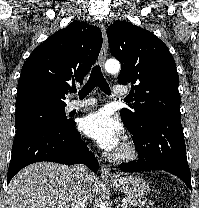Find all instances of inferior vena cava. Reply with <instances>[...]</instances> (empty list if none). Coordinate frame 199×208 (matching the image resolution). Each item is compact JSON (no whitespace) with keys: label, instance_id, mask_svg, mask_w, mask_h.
Returning a JSON list of instances; mask_svg holds the SVG:
<instances>
[{"label":"inferior vena cava","instance_id":"inferior-vena-cava-1","mask_svg":"<svg viewBox=\"0 0 199 208\" xmlns=\"http://www.w3.org/2000/svg\"><path fill=\"white\" fill-rule=\"evenodd\" d=\"M73 172L76 177L77 183L81 184L88 175V169L83 164H77L73 167ZM72 208H86L85 200L81 199L77 191H75L72 201Z\"/></svg>","mask_w":199,"mask_h":208}]
</instances>
